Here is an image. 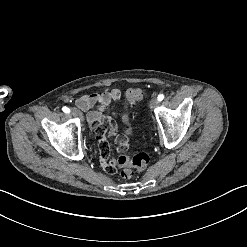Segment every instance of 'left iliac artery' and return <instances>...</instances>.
<instances>
[{"label": "left iliac artery", "instance_id": "left-iliac-artery-1", "mask_svg": "<svg viewBox=\"0 0 247 247\" xmlns=\"http://www.w3.org/2000/svg\"><path fill=\"white\" fill-rule=\"evenodd\" d=\"M157 99H158V101H162L164 99V95L163 94H159Z\"/></svg>", "mask_w": 247, "mask_h": 247}]
</instances>
